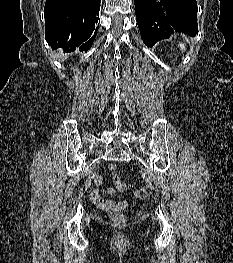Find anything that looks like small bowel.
Listing matches in <instances>:
<instances>
[{
    "instance_id": "small-bowel-1",
    "label": "small bowel",
    "mask_w": 233,
    "mask_h": 263,
    "mask_svg": "<svg viewBox=\"0 0 233 263\" xmlns=\"http://www.w3.org/2000/svg\"><path fill=\"white\" fill-rule=\"evenodd\" d=\"M95 183L98 186L93 192V200L98 207L103 210H112V211H121L127 207L126 201H113L109 199H105L102 194L104 192L114 193L115 191L112 189H104L102 188L103 177L98 176L95 179Z\"/></svg>"
}]
</instances>
